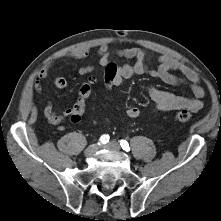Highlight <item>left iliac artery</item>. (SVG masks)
Returning <instances> with one entry per match:
<instances>
[{
  "label": "left iliac artery",
  "instance_id": "1",
  "mask_svg": "<svg viewBox=\"0 0 221 221\" xmlns=\"http://www.w3.org/2000/svg\"><path fill=\"white\" fill-rule=\"evenodd\" d=\"M120 145L123 148V150H125L127 152L130 151L129 144H128V142L126 140H121L120 141Z\"/></svg>",
  "mask_w": 221,
  "mask_h": 221
}]
</instances>
